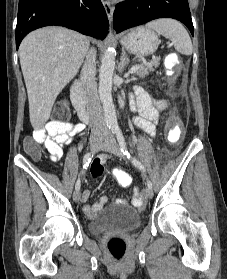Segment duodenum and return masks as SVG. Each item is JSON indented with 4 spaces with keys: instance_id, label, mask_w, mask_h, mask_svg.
Listing matches in <instances>:
<instances>
[{
    "instance_id": "1",
    "label": "duodenum",
    "mask_w": 227,
    "mask_h": 279,
    "mask_svg": "<svg viewBox=\"0 0 227 279\" xmlns=\"http://www.w3.org/2000/svg\"><path fill=\"white\" fill-rule=\"evenodd\" d=\"M70 94L72 103L77 111L80 120L83 123H89L90 109L82 84L80 82H74L71 85Z\"/></svg>"
}]
</instances>
